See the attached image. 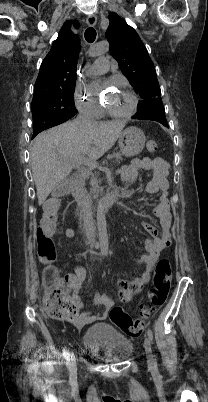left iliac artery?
Instances as JSON below:
<instances>
[{
    "label": "left iliac artery",
    "mask_w": 208,
    "mask_h": 402,
    "mask_svg": "<svg viewBox=\"0 0 208 402\" xmlns=\"http://www.w3.org/2000/svg\"><path fill=\"white\" fill-rule=\"evenodd\" d=\"M147 334H148L149 340H150V342L152 344L153 343V333H152V330L150 328L147 329Z\"/></svg>",
    "instance_id": "obj_1"
}]
</instances>
